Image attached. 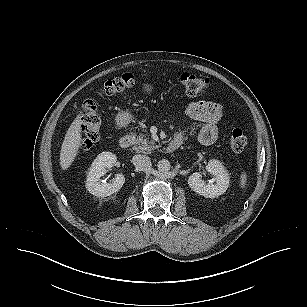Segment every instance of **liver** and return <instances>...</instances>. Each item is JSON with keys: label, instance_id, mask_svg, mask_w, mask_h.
Returning <instances> with one entry per match:
<instances>
[{"label": "liver", "instance_id": "obj_1", "mask_svg": "<svg viewBox=\"0 0 307 307\" xmlns=\"http://www.w3.org/2000/svg\"><path fill=\"white\" fill-rule=\"evenodd\" d=\"M80 117L81 115H78L71 123L62 143L60 151V166L62 170H67L78 154L82 140V121Z\"/></svg>", "mask_w": 307, "mask_h": 307}]
</instances>
